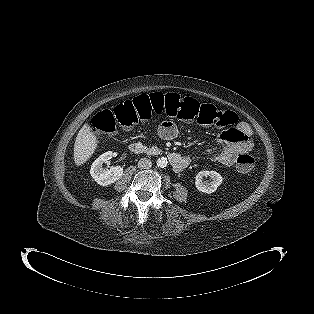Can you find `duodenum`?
<instances>
[{
	"instance_id": "duodenum-1",
	"label": "duodenum",
	"mask_w": 314,
	"mask_h": 314,
	"mask_svg": "<svg viewBox=\"0 0 314 314\" xmlns=\"http://www.w3.org/2000/svg\"><path fill=\"white\" fill-rule=\"evenodd\" d=\"M129 150L133 154H145L149 153L148 147L141 142H133L129 146ZM168 160L172 169L176 172L183 171L190 163V160L186 157L181 156L178 153L170 152L167 154Z\"/></svg>"
}]
</instances>
